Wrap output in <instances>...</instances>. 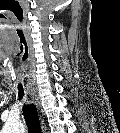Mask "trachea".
I'll return each instance as SVG.
<instances>
[{"instance_id": "3493384b", "label": "trachea", "mask_w": 120, "mask_h": 133, "mask_svg": "<svg viewBox=\"0 0 120 133\" xmlns=\"http://www.w3.org/2000/svg\"><path fill=\"white\" fill-rule=\"evenodd\" d=\"M24 96V91L22 88H19L18 97L22 99ZM23 115L28 127V133H42L39 115L36 110V107L33 104L23 106Z\"/></svg>"}]
</instances>
